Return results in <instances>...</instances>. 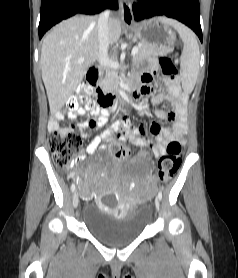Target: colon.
<instances>
[{"instance_id": "5ec220e1", "label": "colon", "mask_w": 238, "mask_h": 278, "mask_svg": "<svg viewBox=\"0 0 238 278\" xmlns=\"http://www.w3.org/2000/svg\"><path fill=\"white\" fill-rule=\"evenodd\" d=\"M163 76L168 80H175L177 68L173 59L163 56L160 59ZM68 106L72 110L93 112L96 109L92 98V88L89 83H82L77 92L69 99ZM82 141L78 134L72 130H53L49 135V147L54 163L60 168H69L74 163V153L81 147ZM110 153L118 158H125L129 154L128 148L120 143L110 146ZM183 157L182 147L179 142L172 141L168 144L166 153L160 157L157 174L162 182H167L178 170Z\"/></svg>"}]
</instances>
